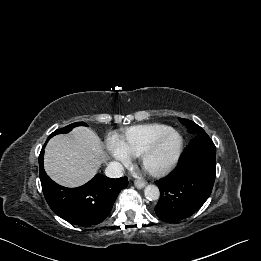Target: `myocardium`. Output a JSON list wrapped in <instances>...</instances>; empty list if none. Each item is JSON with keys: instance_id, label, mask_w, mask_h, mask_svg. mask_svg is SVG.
<instances>
[{"instance_id": "1", "label": "myocardium", "mask_w": 261, "mask_h": 261, "mask_svg": "<svg viewBox=\"0 0 261 261\" xmlns=\"http://www.w3.org/2000/svg\"><path fill=\"white\" fill-rule=\"evenodd\" d=\"M169 135H174L176 137V145L175 148L168 158V160L160 167L158 168H149L147 166V161L151 157V155L156 151L158 146L161 144V142ZM183 149V138L180 135L178 131H176L173 128H170L160 135H158L145 149L144 151L139 155V161L141 164V167L150 175L155 177H162L167 175L169 172L172 171V169L177 164L180 155L182 153Z\"/></svg>"}]
</instances>
